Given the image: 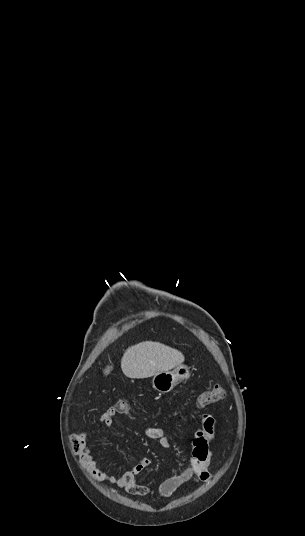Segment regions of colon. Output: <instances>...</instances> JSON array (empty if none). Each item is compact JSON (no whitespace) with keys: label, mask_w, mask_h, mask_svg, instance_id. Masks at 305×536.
<instances>
[{"label":"colon","mask_w":305,"mask_h":536,"mask_svg":"<svg viewBox=\"0 0 305 536\" xmlns=\"http://www.w3.org/2000/svg\"><path fill=\"white\" fill-rule=\"evenodd\" d=\"M223 397H224V389L222 388V386L220 384H216L212 389L205 390V391H203V392H201L199 394L198 401H197L198 402V407L204 409V408H206V407H208V406H210L212 404H215V403L219 402L220 400H222ZM112 405L115 408L114 415H116V416L124 415V414L128 413V411L131 408L130 402L128 400H125V399L118 400L117 402H115ZM68 443H69V445H71V451L72 452H77L78 451V446L77 445H79V443H80L79 436H77V435L69 436Z\"/></svg>","instance_id":"colon-1"}]
</instances>
